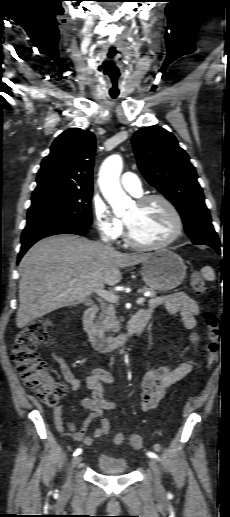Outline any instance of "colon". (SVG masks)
<instances>
[{
    "mask_svg": "<svg viewBox=\"0 0 230 517\" xmlns=\"http://www.w3.org/2000/svg\"><path fill=\"white\" fill-rule=\"evenodd\" d=\"M191 287L197 295L207 291L204 279L196 274L191 279ZM207 331L205 368L211 369L218 360L220 320L215 312L208 311L204 315ZM48 322L37 319L22 328L13 341L12 361L24 384L31 389L37 398L47 406H56L65 396V387L49 375L47 363L38 356L36 348L49 339ZM130 445L140 449L142 438L130 435Z\"/></svg>",
    "mask_w": 230,
    "mask_h": 517,
    "instance_id": "obj_1",
    "label": "colon"
}]
</instances>
